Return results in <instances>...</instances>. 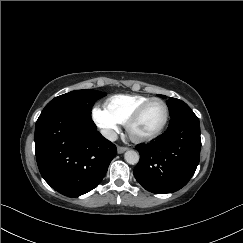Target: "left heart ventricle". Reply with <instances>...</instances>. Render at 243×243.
<instances>
[{
	"mask_svg": "<svg viewBox=\"0 0 243 243\" xmlns=\"http://www.w3.org/2000/svg\"><path fill=\"white\" fill-rule=\"evenodd\" d=\"M165 118V107L161 102L152 103L141 118L132 126V133L138 137L148 136L157 131Z\"/></svg>",
	"mask_w": 243,
	"mask_h": 243,
	"instance_id": "obj_1",
	"label": "left heart ventricle"
}]
</instances>
